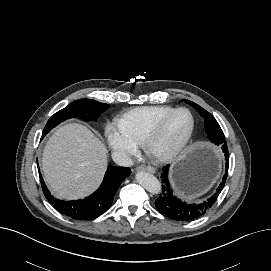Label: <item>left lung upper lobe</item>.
Segmentation results:
<instances>
[{
    "label": "left lung upper lobe",
    "instance_id": "1",
    "mask_svg": "<svg viewBox=\"0 0 271 271\" xmlns=\"http://www.w3.org/2000/svg\"><path fill=\"white\" fill-rule=\"evenodd\" d=\"M187 102L204 117L205 129L210 141L216 145H223L225 143L223 131L213 116L196 103L188 100Z\"/></svg>",
    "mask_w": 271,
    "mask_h": 271
}]
</instances>
